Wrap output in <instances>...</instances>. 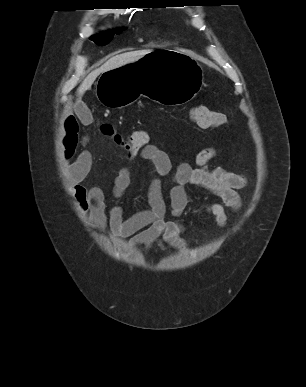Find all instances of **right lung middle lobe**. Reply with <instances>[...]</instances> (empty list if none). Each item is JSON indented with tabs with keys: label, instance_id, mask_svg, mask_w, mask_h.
<instances>
[{
	"label": "right lung middle lobe",
	"instance_id": "right-lung-middle-lobe-1",
	"mask_svg": "<svg viewBox=\"0 0 306 387\" xmlns=\"http://www.w3.org/2000/svg\"><path fill=\"white\" fill-rule=\"evenodd\" d=\"M120 32L121 31H117V34L120 33ZM113 35H114V33L108 32V33H104V34H101V35H98V36H93L91 38V40L94 41L98 45H105V44L109 43L112 40Z\"/></svg>",
	"mask_w": 306,
	"mask_h": 387
}]
</instances>
